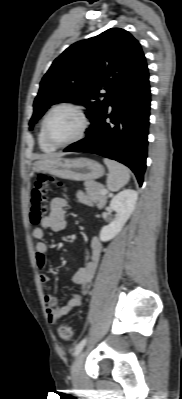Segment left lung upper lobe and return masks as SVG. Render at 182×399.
I'll list each match as a JSON object with an SVG mask.
<instances>
[{"mask_svg": "<svg viewBox=\"0 0 182 399\" xmlns=\"http://www.w3.org/2000/svg\"><path fill=\"white\" fill-rule=\"evenodd\" d=\"M145 63L139 42L120 28L72 44L55 59L40 83L30 130L46 109L58 102L84 105L93 123L113 93Z\"/></svg>", "mask_w": 182, "mask_h": 399, "instance_id": "obj_1", "label": "left lung upper lobe"}]
</instances>
